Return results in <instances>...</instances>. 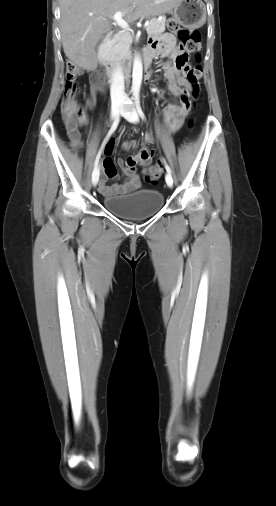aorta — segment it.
Segmentation results:
<instances>
[{
  "mask_svg": "<svg viewBox=\"0 0 276 506\" xmlns=\"http://www.w3.org/2000/svg\"><path fill=\"white\" fill-rule=\"evenodd\" d=\"M142 75H143V65L142 60L139 56H135L133 62V71H132V92L133 94H138L140 91L141 83H142Z\"/></svg>",
  "mask_w": 276,
  "mask_h": 506,
  "instance_id": "762f6f07",
  "label": "aorta"
}]
</instances>
